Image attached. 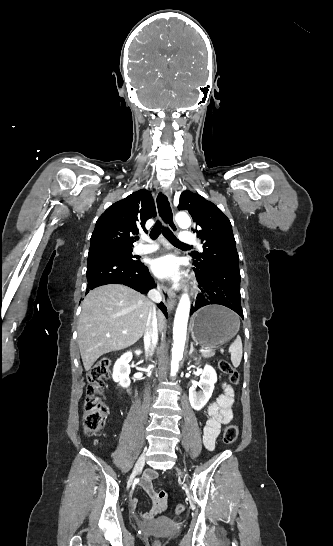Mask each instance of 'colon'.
Here are the masks:
<instances>
[{"label":"colon","mask_w":333,"mask_h":546,"mask_svg":"<svg viewBox=\"0 0 333 546\" xmlns=\"http://www.w3.org/2000/svg\"><path fill=\"white\" fill-rule=\"evenodd\" d=\"M218 365L220 371L229 379L231 383H238L239 372L229 361L220 360ZM110 367V359L102 358L92 366L87 374L89 386L88 394L84 402L83 430L88 435L97 433L106 423V407L99 395L102 393L106 380L109 377ZM238 435V427L231 424L224 430L223 442L225 444H232L236 441ZM184 510L185 506L183 504H178L175 507V513L178 515L182 514ZM153 546H161V544L159 542H155Z\"/></svg>","instance_id":"5ec220e1"}]
</instances>
